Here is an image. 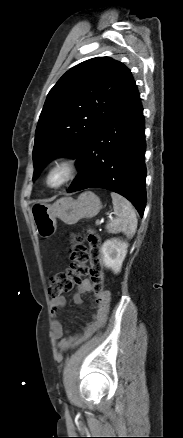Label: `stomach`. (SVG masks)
I'll list each match as a JSON object with an SVG mask.
<instances>
[{"label":"stomach","instance_id":"0dacf381","mask_svg":"<svg viewBox=\"0 0 183 438\" xmlns=\"http://www.w3.org/2000/svg\"><path fill=\"white\" fill-rule=\"evenodd\" d=\"M102 208L101 201L93 192L87 191L74 200L63 197L54 204L37 202L32 205L30 215L41 238H49L57 230L56 218L65 224L73 225L82 218L96 216Z\"/></svg>","mask_w":183,"mask_h":438}]
</instances>
